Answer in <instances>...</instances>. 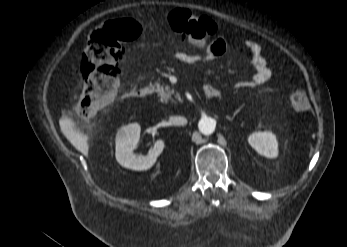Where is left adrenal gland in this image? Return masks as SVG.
Returning <instances> with one entry per match:
<instances>
[{
    "instance_id": "a2214340",
    "label": "left adrenal gland",
    "mask_w": 347,
    "mask_h": 247,
    "mask_svg": "<svg viewBox=\"0 0 347 247\" xmlns=\"http://www.w3.org/2000/svg\"><path fill=\"white\" fill-rule=\"evenodd\" d=\"M237 113H238V111H236V112L234 113L233 117L230 118V121H232V120L235 118V116H236Z\"/></svg>"
}]
</instances>
